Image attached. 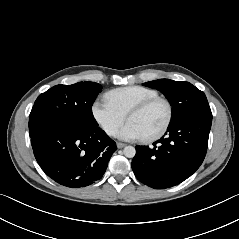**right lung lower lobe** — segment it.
Returning a JSON list of instances; mask_svg holds the SVG:
<instances>
[{"mask_svg": "<svg viewBox=\"0 0 239 239\" xmlns=\"http://www.w3.org/2000/svg\"><path fill=\"white\" fill-rule=\"evenodd\" d=\"M31 137L35 158L57 183L79 188L102 178L116 143L100 128H44Z\"/></svg>", "mask_w": 239, "mask_h": 239, "instance_id": "obj_1", "label": "right lung lower lobe"}]
</instances>
